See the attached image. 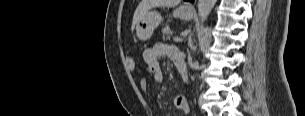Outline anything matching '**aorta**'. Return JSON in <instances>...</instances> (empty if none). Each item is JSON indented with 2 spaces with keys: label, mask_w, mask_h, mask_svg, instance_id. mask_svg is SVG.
I'll use <instances>...</instances> for the list:
<instances>
[{
  "label": "aorta",
  "mask_w": 305,
  "mask_h": 116,
  "mask_svg": "<svg viewBox=\"0 0 305 116\" xmlns=\"http://www.w3.org/2000/svg\"><path fill=\"white\" fill-rule=\"evenodd\" d=\"M216 0H199L198 1V14L201 22H204L211 13Z\"/></svg>",
  "instance_id": "obj_1"
}]
</instances>
